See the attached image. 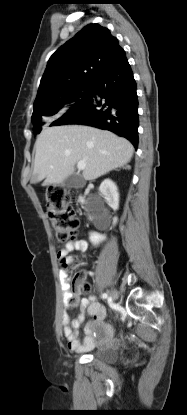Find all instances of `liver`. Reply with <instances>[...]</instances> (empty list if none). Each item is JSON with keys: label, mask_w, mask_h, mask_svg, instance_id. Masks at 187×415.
Wrapping results in <instances>:
<instances>
[{"label": "liver", "mask_w": 187, "mask_h": 415, "mask_svg": "<svg viewBox=\"0 0 187 415\" xmlns=\"http://www.w3.org/2000/svg\"><path fill=\"white\" fill-rule=\"evenodd\" d=\"M35 162L31 183L45 179L43 185L59 184L85 161V180H95L126 165L134 147L110 131L82 125L54 126L44 129L35 142Z\"/></svg>", "instance_id": "liver-1"}]
</instances>
